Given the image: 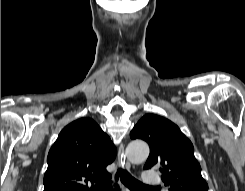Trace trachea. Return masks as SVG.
<instances>
[{"label": "trachea", "instance_id": "trachea-1", "mask_svg": "<svg viewBox=\"0 0 245 191\" xmlns=\"http://www.w3.org/2000/svg\"><path fill=\"white\" fill-rule=\"evenodd\" d=\"M120 177V180L131 190L134 191H141L145 189H150L152 187L144 185L137 179H135L127 170H123L122 168L118 169L116 173V180H118Z\"/></svg>", "mask_w": 245, "mask_h": 191}]
</instances>
